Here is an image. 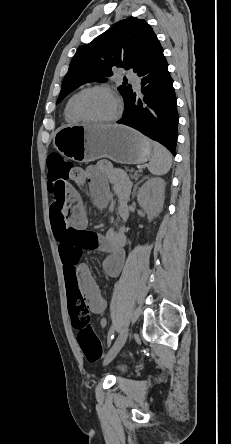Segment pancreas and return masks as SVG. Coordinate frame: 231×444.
<instances>
[{"label": "pancreas", "instance_id": "cf45deb5", "mask_svg": "<svg viewBox=\"0 0 231 444\" xmlns=\"http://www.w3.org/2000/svg\"><path fill=\"white\" fill-rule=\"evenodd\" d=\"M125 170L129 173V176L134 179V180H138L140 177V174L135 171L134 169H130L129 167H125Z\"/></svg>", "mask_w": 231, "mask_h": 444}]
</instances>
